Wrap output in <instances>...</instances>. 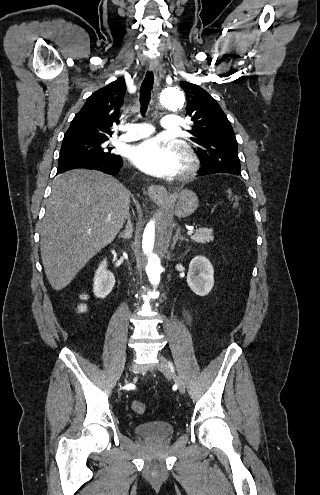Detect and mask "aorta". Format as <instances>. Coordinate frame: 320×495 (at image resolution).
Here are the masks:
<instances>
[{
	"label": "aorta",
	"mask_w": 320,
	"mask_h": 495,
	"mask_svg": "<svg viewBox=\"0 0 320 495\" xmlns=\"http://www.w3.org/2000/svg\"><path fill=\"white\" fill-rule=\"evenodd\" d=\"M160 105L177 110L183 106L184 98L177 89H165L160 94ZM171 220L167 211L154 216L146 225L141 237L143 263L150 283L157 287L161 280V248L168 243Z\"/></svg>",
	"instance_id": "762f6f07"
}]
</instances>
